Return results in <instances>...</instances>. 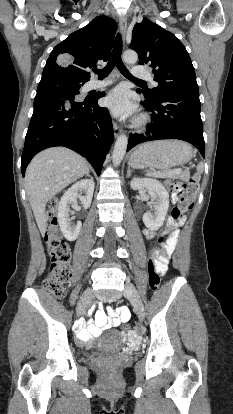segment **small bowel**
<instances>
[{
  "mask_svg": "<svg viewBox=\"0 0 233 414\" xmlns=\"http://www.w3.org/2000/svg\"><path fill=\"white\" fill-rule=\"evenodd\" d=\"M181 224L182 221H174L169 217L163 230L160 232L161 234L171 233V236L163 245L164 252L162 256L155 262V269L159 276L164 275L168 269L169 254L177 241L178 229ZM144 234L148 239L157 235L156 232L148 229L144 230ZM93 307H98L94 321H84L78 325V338L82 343H90L92 338L98 335L102 329L117 327L127 322L130 318V311L124 306L116 310L111 307L104 309L102 303L98 306V302H93Z\"/></svg>",
  "mask_w": 233,
  "mask_h": 414,
  "instance_id": "small-bowel-1",
  "label": "small bowel"
}]
</instances>
